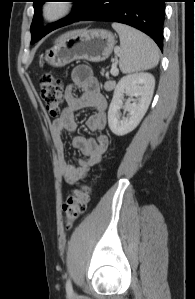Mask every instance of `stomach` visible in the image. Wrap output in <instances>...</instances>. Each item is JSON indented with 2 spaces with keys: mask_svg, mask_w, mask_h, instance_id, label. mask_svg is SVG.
I'll use <instances>...</instances> for the list:
<instances>
[{
  "mask_svg": "<svg viewBox=\"0 0 195 299\" xmlns=\"http://www.w3.org/2000/svg\"><path fill=\"white\" fill-rule=\"evenodd\" d=\"M115 43L113 33L105 29L75 30L47 50L44 60L54 67H63L80 59L101 62L110 56Z\"/></svg>",
  "mask_w": 195,
  "mask_h": 299,
  "instance_id": "0dacf381",
  "label": "stomach"
}]
</instances>
